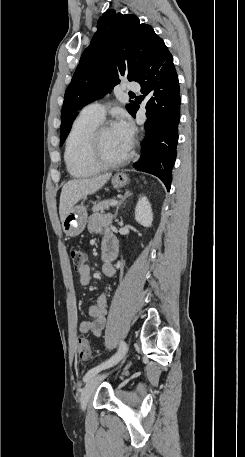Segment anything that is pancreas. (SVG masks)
I'll list each match as a JSON object with an SVG mask.
<instances>
[{
  "label": "pancreas",
  "instance_id": "1",
  "mask_svg": "<svg viewBox=\"0 0 245 457\" xmlns=\"http://www.w3.org/2000/svg\"><path fill=\"white\" fill-rule=\"evenodd\" d=\"M113 198H106V200H99V202H94L92 206L93 212H98V210H108L109 206H111L110 202H112Z\"/></svg>",
  "mask_w": 245,
  "mask_h": 457
}]
</instances>
